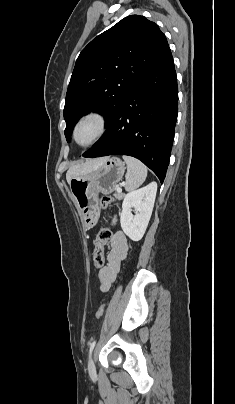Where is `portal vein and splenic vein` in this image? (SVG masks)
<instances>
[{
	"instance_id": "18ae733b",
	"label": "portal vein and splenic vein",
	"mask_w": 235,
	"mask_h": 404,
	"mask_svg": "<svg viewBox=\"0 0 235 404\" xmlns=\"http://www.w3.org/2000/svg\"><path fill=\"white\" fill-rule=\"evenodd\" d=\"M117 192H122L121 187H117Z\"/></svg>"
}]
</instances>
